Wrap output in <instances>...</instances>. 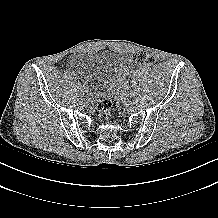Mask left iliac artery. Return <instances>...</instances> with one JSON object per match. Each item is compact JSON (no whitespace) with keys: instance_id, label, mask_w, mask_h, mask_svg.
I'll use <instances>...</instances> for the list:
<instances>
[{"instance_id":"44dca946","label":"left iliac artery","mask_w":218,"mask_h":218,"mask_svg":"<svg viewBox=\"0 0 218 218\" xmlns=\"http://www.w3.org/2000/svg\"><path fill=\"white\" fill-rule=\"evenodd\" d=\"M127 97H128V98H127L128 100H129L130 98L132 99V98L134 97V96H133V92H132V93H128V94H127Z\"/></svg>"}]
</instances>
